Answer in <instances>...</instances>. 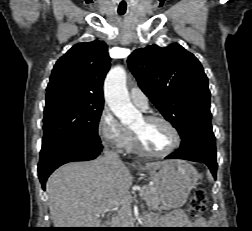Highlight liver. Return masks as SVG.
<instances>
[{"instance_id": "liver-1", "label": "liver", "mask_w": 252, "mask_h": 231, "mask_svg": "<svg viewBox=\"0 0 252 231\" xmlns=\"http://www.w3.org/2000/svg\"><path fill=\"white\" fill-rule=\"evenodd\" d=\"M162 164L150 162L145 168ZM131 185L130 170L123 163L107 164L98 158L60 167L46 184L55 228H100L99 215L118 206Z\"/></svg>"}]
</instances>
